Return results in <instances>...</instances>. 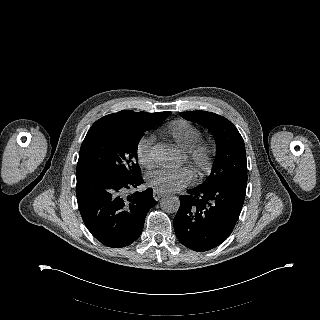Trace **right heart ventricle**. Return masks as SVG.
<instances>
[{
  "label": "right heart ventricle",
  "instance_id": "obj_1",
  "mask_svg": "<svg viewBox=\"0 0 320 320\" xmlns=\"http://www.w3.org/2000/svg\"><path fill=\"white\" fill-rule=\"evenodd\" d=\"M163 133L182 149L197 142L200 138V132L189 122L184 120H177L166 126Z\"/></svg>",
  "mask_w": 320,
  "mask_h": 320
}]
</instances>
